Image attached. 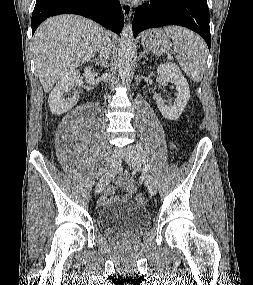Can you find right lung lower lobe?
<instances>
[{
  "label": "right lung lower lobe",
  "instance_id": "right-lung-lower-lobe-1",
  "mask_svg": "<svg viewBox=\"0 0 253 285\" xmlns=\"http://www.w3.org/2000/svg\"><path fill=\"white\" fill-rule=\"evenodd\" d=\"M59 14H78L90 18L119 34L124 15L117 0H36L32 13V35L46 18Z\"/></svg>",
  "mask_w": 253,
  "mask_h": 285
}]
</instances>
